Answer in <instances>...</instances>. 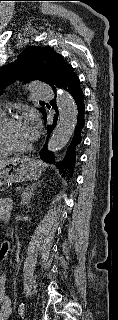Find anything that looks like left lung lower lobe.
<instances>
[{
    "label": "left lung lower lobe",
    "instance_id": "left-lung-lower-lobe-1",
    "mask_svg": "<svg viewBox=\"0 0 118 320\" xmlns=\"http://www.w3.org/2000/svg\"><path fill=\"white\" fill-rule=\"evenodd\" d=\"M59 88H62L69 92L71 96L73 97L77 110V123L75 126L74 135L72 138V141L67 149L66 157L58 162V165L61 167V170L65 169H71L74 167V161H75V149L78 147V145L81 142V133L84 128L85 120H84V113H85V104H84V94L80 87V81L78 76L73 72L71 69L70 72L67 74V76L64 78V80L59 84ZM52 106L54 109H56L55 100L52 101ZM58 114V112H56ZM44 121L47 120L46 113L43 115ZM57 122V115L54 116V122L52 125L47 126V133L48 138L50 133L53 131V129L56 126ZM40 159L45 162H54L53 159V153L47 150V142L45 143L44 147L40 150ZM71 175V174H70Z\"/></svg>",
    "mask_w": 118,
    "mask_h": 320
}]
</instances>
